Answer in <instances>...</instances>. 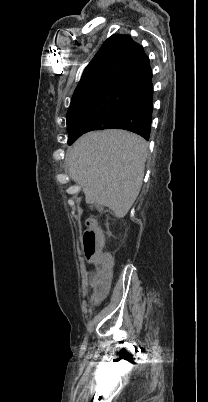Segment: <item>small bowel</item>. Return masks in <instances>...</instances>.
<instances>
[{
    "instance_id": "1",
    "label": "small bowel",
    "mask_w": 208,
    "mask_h": 402,
    "mask_svg": "<svg viewBox=\"0 0 208 402\" xmlns=\"http://www.w3.org/2000/svg\"><path fill=\"white\" fill-rule=\"evenodd\" d=\"M101 256H110V255H101ZM97 297H102L103 295H96Z\"/></svg>"
}]
</instances>
